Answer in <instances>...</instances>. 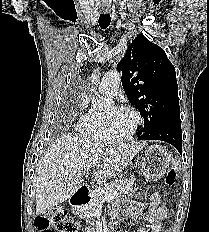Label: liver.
<instances>
[{"instance_id": "obj_1", "label": "liver", "mask_w": 209, "mask_h": 232, "mask_svg": "<svg viewBox=\"0 0 209 232\" xmlns=\"http://www.w3.org/2000/svg\"><path fill=\"white\" fill-rule=\"evenodd\" d=\"M144 143L93 140L65 134L47 150L35 178L36 213L70 199L80 187L86 169L96 162L98 183L115 177L131 162Z\"/></svg>"}]
</instances>
